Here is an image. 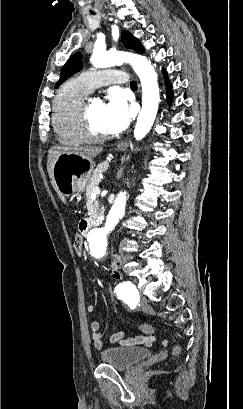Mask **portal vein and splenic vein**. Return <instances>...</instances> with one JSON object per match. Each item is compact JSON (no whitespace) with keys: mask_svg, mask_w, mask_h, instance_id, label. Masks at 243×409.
Segmentation results:
<instances>
[{"mask_svg":"<svg viewBox=\"0 0 243 409\" xmlns=\"http://www.w3.org/2000/svg\"><path fill=\"white\" fill-rule=\"evenodd\" d=\"M100 194V188L97 186L93 189L92 195Z\"/></svg>","mask_w":243,"mask_h":409,"instance_id":"18ae733b","label":"portal vein and splenic vein"}]
</instances>
